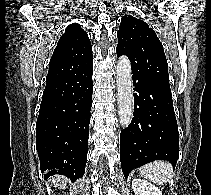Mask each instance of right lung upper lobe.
<instances>
[{"mask_svg":"<svg viewBox=\"0 0 211 195\" xmlns=\"http://www.w3.org/2000/svg\"><path fill=\"white\" fill-rule=\"evenodd\" d=\"M93 64L92 46L79 24L69 25L60 37L49 63L46 82L75 74Z\"/></svg>","mask_w":211,"mask_h":195,"instance_id":"right-lung-upper-lobe-1","label":"right lung upper lobe"}]
</instances>
